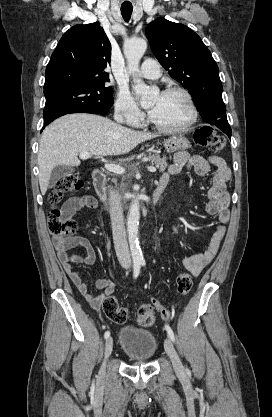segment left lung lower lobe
Masks as SVG:
<instances>
[{
    "label": "left lung lower lobe",
    "instance_id": "obj_1",
    "mask_svg": "<svg viewBox=\"0 0 272 417\" xmlns=\"http://www.w3.org/2000/svg\"><path fill=\"white\" fill-rule=\"evenodd\" d=\"M224 133L228 135V137H231V130H222Z\"/></svg>",
    "mask_w": 272,
    "mask_h": 417
}]
</instances>
